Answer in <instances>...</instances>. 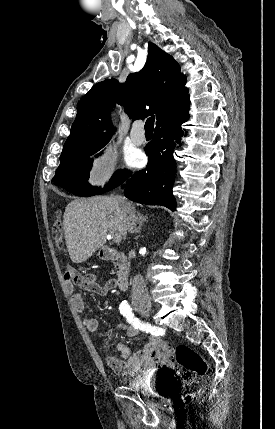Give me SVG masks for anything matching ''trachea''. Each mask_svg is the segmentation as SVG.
<instances>
[{
	"label": "trachea",
	"instance_id": "1",
	"mask_svg": "<svg viewBox=\"0 0 275 429\" xmlns=\"http://www.w3.org/2000/svg\"><path fill=\"white\" fill-rule=\"evenodd\" d=\"M154 121H155V117L151 116L146 120L145 123V132L146 133H153L154 130Z\"/></svg>",
	"mask_w": 275,
	"mask_h": 429
}]
</instances>
